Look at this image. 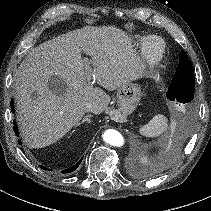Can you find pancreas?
Masks as SVG:
<instances>
[{"instance_id": "1", "label": "pancreas", "mask_w": 211, "mask_h": 211, "mask_svg": "<svg viewBox=\"0 0 211 211\" xmlns=\"http://www.w3.org/2000/svg\"><path fill=\"white\" fill-rule=\"evenodd\" d=\"M110 115L115 118L126 119V115L120 112L119 110H111Z\"/></svg>"}]
</instances>
